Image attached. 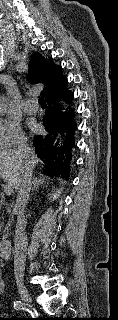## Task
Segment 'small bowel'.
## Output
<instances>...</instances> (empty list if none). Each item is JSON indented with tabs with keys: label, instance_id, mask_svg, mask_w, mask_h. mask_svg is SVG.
Returning <instances> with one entry per match:
<instances>
[{
	"label": "small bowel",
	"instance_id": "small-bowel-1",
	"mask_svg": "<svg viewBox=\"0 0 118 320\" xmlns=\"http://www.w3.org/2000/svg\"><path fill=\"white\" fill-rule=\"evenodd\" d=\"M3 291H4V281L2 278V272L0 270V295L3 293Z\"/></svg>",
	"mask_w": 118,
	"mask_h": 320
}]
</instances>
